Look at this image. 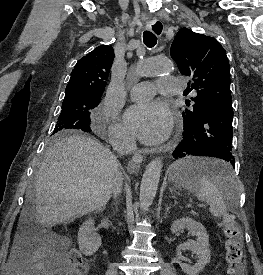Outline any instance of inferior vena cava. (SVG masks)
<instances>
[{"label":"inferior vena cava","mask_w":263,"mask_h":275,"mask_svg":"<svg viewBox=\"0 0 263 275\" xmlns=\"http://www.w3.org/2000/svg\"><path fill=\"white\" fill-rule=\"evenodd\" d=\"M114 150L121 155L131 153L136 148L135 139L128 133H121L118 135L112 143ZM122 175L118 171L114 178L113 194L116 196L121 192Z\"/></svg>","instance_id":"obj_1"}]
</instances>
